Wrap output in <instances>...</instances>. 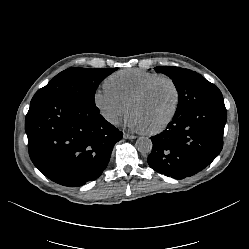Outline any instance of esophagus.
<instances>
[{
    "label": "esophagus",
    "mask_w": 249,
    "mask_h": 249,
    "mask_svg": "<svg viewBox=\"0 0 249 249\" xmlns=\"http://www.w3.org/2000/svg\"><path fill=\"white\" fill-rule=\"evenodd\" d=\"M123 137H124L125 139H135V138H136L135 135H131V134H127V133H124Z\"/></svg>",
    "instance_id": "1"
}]
</instances>
